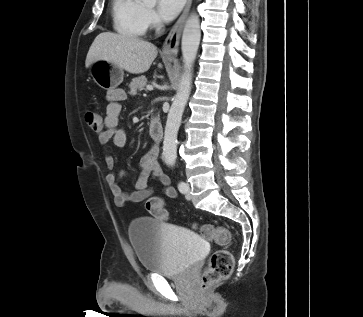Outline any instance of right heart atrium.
<instances>
[{"mask_svg": "<svg viewBox=\"0 0 363 317\" xmlns=\"http://www.w3.org/2000/svg\"><path fill=\"white\" fill-rule=\"evenodd\" d=\"M147 19H148L149 25H151L152 27H158L160 24L159 19L157 18L156 14L151 10H149L147 12Z\"/></svg>", "mask_w": 363, "mask_h": 317, "instance_id": "d8ad5b80", "label": "right heart atrium"}]
</instances>
